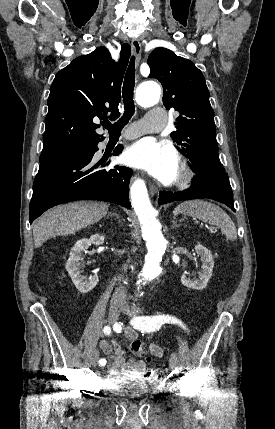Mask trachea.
<instances>
[{
  "label": "trachea",
  "mask_w": 275,
  "mask_h": 429,
  "mask_svg": "<svg viewBox=\"0 0 275 429\" xmlns=\"http://www.w3.org/2000/svg\"><path fill=\"white\" fill-rule=\"evenodd\" d=\"M135 86V57L132 56L130 60L129 67L126 71L122 97L124 102V114L123 116L114 124H111L109 121L103 123V127L106 128L110 133H119L122 128L129 122L130 118L135 112V106L133 101V91Z\"/></svg>",
  "instance_id": "obj_1"
}]
</instances>
